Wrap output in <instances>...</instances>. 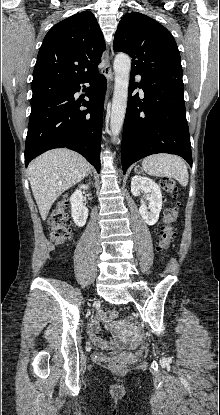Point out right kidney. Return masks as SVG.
Listing matches in <instances>:
<instances>
[{"label": "right kidney", "mask_w": 220, "mask_h": 415, "mask_svg": "<svg viewBox=\"0 0 220 415\" xmlns=\"http://www.w3.org/2000/svg\"><path fill=\"white\" fill-rule=\"evenodd\" d=\"M88 188L87 185H81L70 197L71 216L78 227H83L88 217V208L83 203L82 195V189L87 190Z\"/></svg>", "instance_id": "right-kidney-1"}]
</instances>
